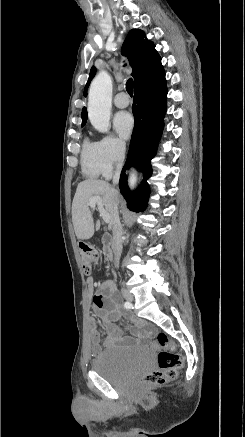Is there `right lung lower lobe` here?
Masks as SVG:
<instances>
[{
    "label": "right lung lower lobe",
    "mask_w": 245,
    "mask_h": 437,
    "mask_svg": "<svg viewBox=\"0 0 245 437\" xmlns=\"http://www.w3.org/2000/svg\"><path fill=\"white\" fill-rule=\"evenodd\" d=\"M167 87L165 77L159 81L136 88L132 106L135 126L132 133L127 162L122 170L119 188L127 200V207L135 212L147 207L149 187L147 179L151 176L150 161L156 153L161 138L166 112ZM135 165L142 169L144 179L137 192L131 193L127 185L126 169Z\"/></svg>",
    "instance_id": "98d812e1"
}]
</instances>
